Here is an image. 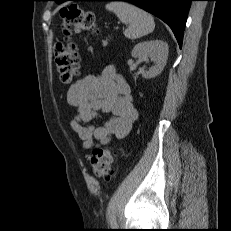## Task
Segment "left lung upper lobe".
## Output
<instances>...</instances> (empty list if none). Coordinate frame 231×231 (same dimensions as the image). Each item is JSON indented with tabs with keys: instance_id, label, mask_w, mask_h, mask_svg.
Listing matches in <instances>:
<instances>
[{
	"instance_id": "obj_1",
	"label": "left lung upper lobe",
	"mask_w": 231,
	"mask_h": 231,
	"mask_svg": "<svg viewBox=\"0 0 231 231\" xmlns=\"http://www.w3.org/2000/svg\"><path fill=\"white\" fill-rule=\"evenodd\" d=\"M54 1H56L57 3H61L63 0H54Z\"/></svg>"
}]
</instances>
